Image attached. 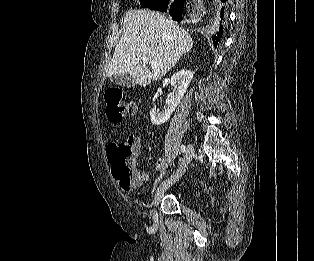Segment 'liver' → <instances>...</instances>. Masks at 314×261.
<instances>
[{
  "mask_svg": "<svg viewBox=\"0 0 314 261\" xmlns=\"http://www.w3.org/2000/svg\"><path fill=\"white\" fill-rule=\"evenodd\" d=\"M193 47L189 33L159 12L131 9L124 15L123 32L106 76L129 74L140 86L165 76ZM143 57L158 64L148 68Z\"/></svg>",
  "mask_w": 314,
  "mask_h": 261,
  "instance_id": "obj_1",
  "label": "liver"
}]
</instances>
